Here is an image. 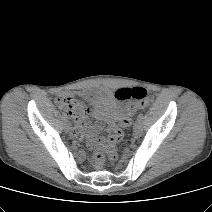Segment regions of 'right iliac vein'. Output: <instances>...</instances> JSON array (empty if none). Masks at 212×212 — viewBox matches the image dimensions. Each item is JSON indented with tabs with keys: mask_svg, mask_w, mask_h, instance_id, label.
Listing matches in <instances>:
<instances>
[{
	"mask_svg": "<svg viewBox=\"0 0 212 212\" xmlns=\"http://www.w3.org/2000/svg\"><path fill=\"white\" fill-rule=\"evenodd\" d=\"M65 127H66L67 130H70L71 129V124L66 121Z\"/></svg>",
	"mask_w": 212,
	"mask_h": 212,
	"instance_id": "63e3f726",
	"label": "right iliac vein"
}]
</instances>
